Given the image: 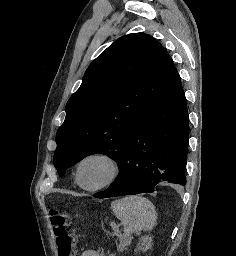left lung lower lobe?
<instances>
[{
  "label": "left lung lower lobe",
  "mask_w": 236,
  "mask_h": 256,
  "mask_svg": "<svg viewBox=\"0 0 236 256\" xmlns=\"http://www.w3.org/2000/svg\"><path fill=\"white\" fill-rule=\"evenodd\" d=\"M188 140L189 117L180 84L137 122L119 164L118 177L94 197L154 192L162 181L185 185Z\"/></svg>",
  "instance_id": "0a47b994"
}]
</instances>
